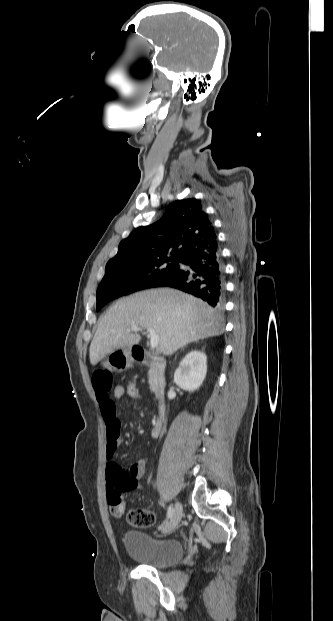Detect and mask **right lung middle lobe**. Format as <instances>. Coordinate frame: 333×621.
Instances as JSON below:
<instances>
[{"label": "right lung middle lobe", "mask_w": 333, "mask_h": 621, "mask_svg": "<svg viewBox=\"0 0 333 621\" xmlns=\"http://www.w3.org/2000/svg\"><path fill=\"white\" fill-rule=\"evenodd\" d=\"M179 257L106 265L96 293L99 311L109 301L147 288L158 287L179 269Z\"/></svg>", "instance_id": "1"}]
</instances>
